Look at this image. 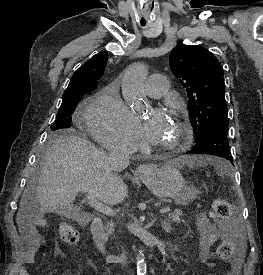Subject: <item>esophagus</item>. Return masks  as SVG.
Returning <instances> with one entry per match:
<instances>
[{
  "mask_svg": "<svg viewBox=\"0 0 263 275\" xmlns=\"http://www.w3.org/2000/svg\"><path fill=\"white\" fill-rule=\"evenodd\" d=\"M150 169H151V167L149 165L141 164V165L137 166L136 173L143 174V173L149 171Z\"/></svg>",
  "mask_w": 263,
  "mask_h": 275,
  "instance_id": "34e87169",
  "label": "esophagus"
}]
</instances>
